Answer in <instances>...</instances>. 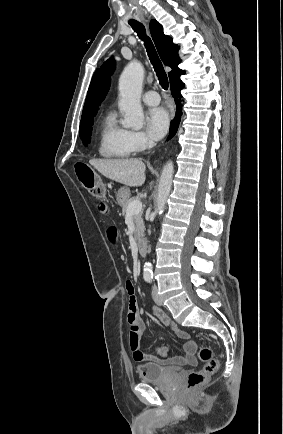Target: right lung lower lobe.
<instances>
[{"instance_id": "98d812e1", "label": "right lung lower lobe", "mask_w": 283, "mask_h": 434, "mask_svg": "<svg viewBox=\"0 0 283 434\" xmlns=\"http://www.w3.org/2000/svg\"><path fill=\"white\" fill-rule=\"evenodd\" d=\"M181 75L179 74L177 77H175L173 80L170 81L171 93L172 96L174 97L175 104H176V115L175 118L171 121L170 135L168 139L172 138L175 135L181 120L182 104H181V98L179 96V91L184 87V83L180 80Z\"/></svg>"}]
</instances>
